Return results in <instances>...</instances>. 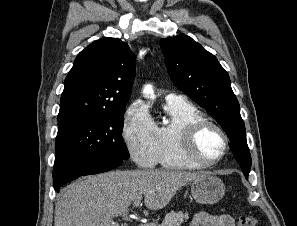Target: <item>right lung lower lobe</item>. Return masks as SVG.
<instances>
[{
	"mask_svg": "<svg viewBox=\"0 0 297 226\" xmlns=\"http://www.w3.org/2000/svg\"><path fill=\"white\" fill-rule=\"evenodd\" d=\"M122 164V160L105 155L87 154L55 161L53 168V186L59 188L80 176L106 172Z\"/></svg>",
	"mask_w": 297,
	"mask_h": 226,
	"instance_id": "1",
	"label": "right lung lower lobe"
}]
</instances>
